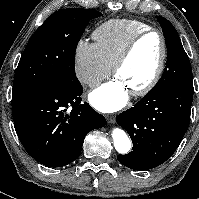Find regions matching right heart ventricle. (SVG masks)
I'll use <instances>...</instances> for the list:
<instances>
[{
    "instance_id": "right-heart-ventricle-1",
    "label": "right heart ventricle",
    "mask_w": 199,
    "mask_h": 199,
    "mask_svg": "<svg viewBox=\"0 0 199 199\" xmlns=\"http://www.w3.org/2000/svg\"><path fill=\"white\" fill-rule=\"evenodd\" d=\"M149 28V25L140 20L114 19L98 26L92 36L100 53L112 66L128 42Z\"/></svg>"
}]
</instances>
